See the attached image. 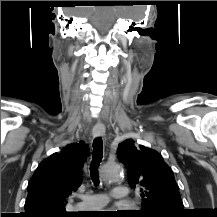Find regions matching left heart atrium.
Instances as JSON below:
<instances>
[{"label": "left heart atrium", "instance_id": "left-heart-atrium-1", "mask_svg": "<svg viewBox=\"0 0 217 217\" xmlns=\"http://www.w3.org/2000/svg\"><path fill=\"white\" fill-rule=\"evenodd\" d=\"M116 213H118V212L111 210V211L104 212L102 215H103V217H117Z\"/></svg>", "mask_w": 217, "mask_h": 217}]
</instances>
